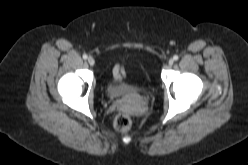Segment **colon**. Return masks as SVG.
Listing matches in <instances>:
<instances>
[{
    "label": "colon",
    "mask_w": 248,
    "mask_h": 165,
    "mask_svg": "<svg viewBox=\"0 0 248 165\" xmlns=\"http://www.w3.org/2000/svg\"><path fill=\"white\" fill-rule=\"evenodd\" d=\"M131 117L126 113H119L114 119V127L117 131H127L131 126Z\"/></svg>",
    "instance_id": "obj_1"
}]
</instances>
